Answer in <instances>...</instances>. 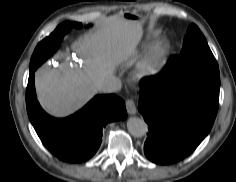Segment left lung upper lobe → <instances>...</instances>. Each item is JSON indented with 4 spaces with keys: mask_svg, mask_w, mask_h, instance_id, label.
Masks as SVG:
<instances>
[{
    "mask_svg": "<svg viewBox=\"0 0 236 182\" xmlns=\"http://www.w3.org/2000/svg\"><path fill=\"white\" fill-rule=\"evenodd\" d=\"M165 68L168 82L189 81L220 86L217 61L195 24L187 29L180 55L171 56Z\"/></svg>",
    "mask_w": 236,
    "mask_h": 182,
    "instance_id": "1",
    "label": "left lung upper lobe"
}]
</instances>
